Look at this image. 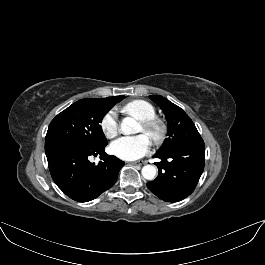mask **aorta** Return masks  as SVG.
<instances>
[{
	"mask_svg": "<svg viewBox=\"0 0 265 265\" xmlns=\"http://www.w3.org/2000/svg\"><path fill=\"white\" fill-rule=\"evenodd\" d=\"M120 128L121 131L127 135L136 134L141 130L140 124L131 117L124 118L120 124ZM156 172V167L153 165H145L141 171L142 176L147 180H153L156 176Z\"/></svg>",
	"mask_w": 265,
	"mask_h": 265,
	"instance_id": "obj_1",
	"label": "aorta"
}]
</instances>
